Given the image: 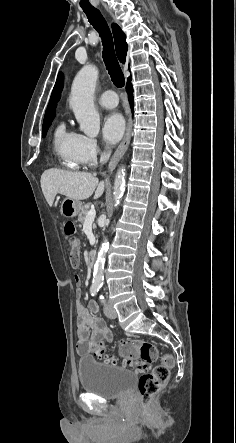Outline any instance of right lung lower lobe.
Returning <instances> with one entry per match:
<instances>
[{"mask_svg": "<svg viewBox=\"0 0 236 443\" xmlns=\"http://www.w3.org/2000/svg\"><path fill=\"white\" fill-rule=\"evenodd\" d=\"M126 88H127L128 94H129L130 106H131V108H133V87L131 84V77L128 78Z\"/></svg>", "mask_w": 236, "mask_h": 443, "instance_id": "right-lung-lower-lobe-1", "label": "right lung lower lobe"}]
</instances>
